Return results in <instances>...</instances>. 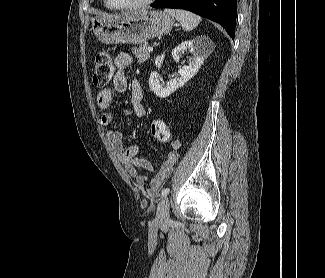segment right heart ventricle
Returning <instances> with one entry per match:
<instances>
[{"label":"right heart ventricle","instance_id":"e07e8e85","mask_svg":"<svg viewBox=\"0 0 325 278\" xmlns=\"http://www.w3.org/2000/svg\"><path fill=\"white\" fill-rule=\"evenodd\" d=\"M104 3H105V5H106L107 8L111 9V8L109 7V5L107 4L106 0H104Z\"/></svg>","mask_w":325,"mask_h":278}]
</instances>
